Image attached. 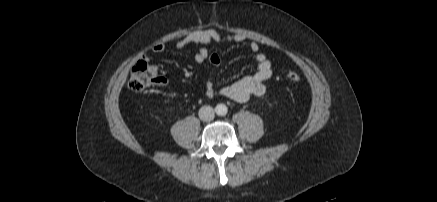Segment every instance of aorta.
Wrapping results in <instances>:
<instances>
[{"instance_id": "1", "label": "aorta", "mask_w": 437, "mask_h": 202, "mask_svg": "<svg viewBox=\"0 0 437 202\" xmlns=\"http://www.w3.org/2000/svg\"><path fill=\"white\" fill-rule=\"evenodd\" d=\"M215 111L218 115L224 116L228 112V108L225 104H218L215 108Z\"/></svg>"}]
</instances>
